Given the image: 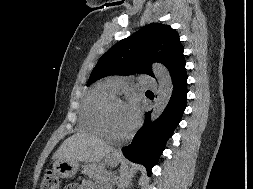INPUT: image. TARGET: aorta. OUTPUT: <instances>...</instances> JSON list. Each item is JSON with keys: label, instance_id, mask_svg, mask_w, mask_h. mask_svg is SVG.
I'll list each match as a JSON object with an SVG mask.
<instances>
[{"label": "aorta", "instance_id": "1", "mask_svg": "<svg viewBox=\"0 0 253 189\" xmlns=\"http://www.w3.org/2000/svg\"><path fill=\"white\" fill-rule=\"evenodd\" d=\"M152 68L159 83L158 95L151 113V121H154L163 113L170 101L173 82L169 71L162 64L154 63Z\"/></svg>", "mask_w": 253, "mask_h": 189}]
</instances>
